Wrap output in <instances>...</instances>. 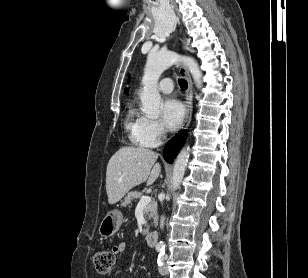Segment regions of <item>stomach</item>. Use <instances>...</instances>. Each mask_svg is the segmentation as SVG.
Here are the masks:
<instances>
[{
	"instance_id": "stomach-1",
	"label": "stomach",
	"mask_w": 308,
	"mask_h": 278,
	"mask_svg": "<svg viewBox=\"0 0 308 278\" xmlns=\"http://www.w3.org/2000/svg\"><path fill=\"white\" fill-rule=\"evenodd\" d=\"M122 222L123 216L119 210L108 212L100 223L99 234L105 238L113 236L121 227Z\"/></svg>"
}]
</instances>
